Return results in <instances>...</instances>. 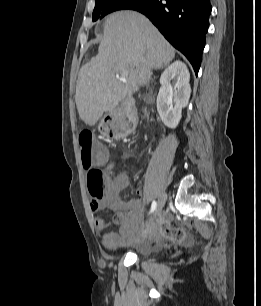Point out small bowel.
<instances>
[{
	"label": "small bowel",
	"mask_w": 261,
	"mask_h": 306,
	"mask_svg": "<svg viewBox=\"0 0 261 306\" xmlns=\"http://www.w3.org/2000/svg\"><path fill=\"white\" fill-rule=\"evenodd\" d=\"M113 168V163L107 165L109 173ZM128 183V175L121 172L107 183L103 200L90 202V208L93 212L108 208L115 213L113 224L118 228L117 231L104 232L110 223L102 217L94 218L95 229L98 232H103L102 243L109 249L131 244L134 232L143 215V196L140 191H138V197L131 200H125L121 195Z\"/></svg>",
	"instance_id": "small-bowel-1"
}]
</instances>
